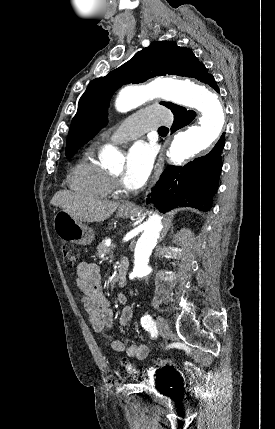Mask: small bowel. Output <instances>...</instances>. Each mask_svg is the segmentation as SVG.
Listing matches in <instances>:
<instances>
[{"instance_id": "1", "label": "small bowel", "mask_w": 275, "mask_h": 429, "mask_svg": "<svg viewBox=\"0 0 275 429\" xmlns=\"http://www.w3.org/2000/svg\"><path fill=\"white\" fill-rule=\"evenodd\" d=\"M75 283L94 331L101 333L110 329L113 324V313L101 286L99 266L87 262L80 263L77 267ZM118 299L125 304L119 315V324L125 327L131 322L134 309L127 304V299L124 295L120 294ZM111 348L118 353L126 352L129 358L135 360L145 359L149 352L145 344L127 345L126 338L115 339L111 343Z\"/></svg>"}]
</instances>
